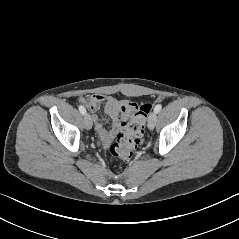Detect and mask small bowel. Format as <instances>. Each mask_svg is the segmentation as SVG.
I'll return each instance as SVG.
<instances>
[{
	"label": "small bowel",
	"mask_w": 239,
	"mask_h": 239,
	"mask_svg": "<svg viewBox=\"0 0 239 239\" xmlns=\"http://www.w3.org/2000/svg\"><path fill=\"white\" fill-rule=\"evenodd\" d=\"M85 104L92 112L95 130L105 145H108L121 130L122 123L139 110V106L128 100H117L115 97L103 94H94L85 100ZM104 105L105 113L111 119V128L104 127L95 112Z\"/></svg>",
	"instance_id": "obj_1"
}]
</instances>
